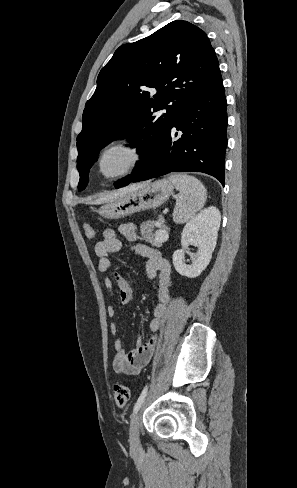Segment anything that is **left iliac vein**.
<instances>
[{"instance_id": "1", "label": "left iliac vein", "mask_w": 297, "mask_h": 488, "mask_svg": "<svg viewBox=\"0 0 297 488\" xmlns=\"http://www.w3.org/2000/svg\"><path fill=\"white\" fill-rule=\"evenodd\" d=\"M139 429H140V414L135 413L131 417L130 429H129V437H130V447L133 453H136L140 450V439H139Z\"/></svg>"}]
</instances>
